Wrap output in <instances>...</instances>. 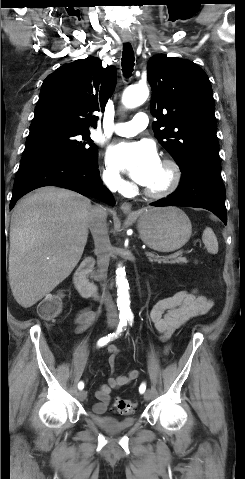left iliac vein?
Instances as JSON below:
<instances>
[{
    "label": "left iliac vein",
    "instance_id": "obj_1",
    "mask_svg": "<svg viewBox=\"0 0 245 479\" xmlns=\"http://www.w3.org/2000/svg\"><path fill=\"white\" fill-rule=\"evenodd\" d=\"M150 396H151V392L149 390H147L145 393H144V399L145 400H149L150 399Z\"/></svg>",
    "mask_w": 245,
    "mask_h": 479
}]
</instances>
